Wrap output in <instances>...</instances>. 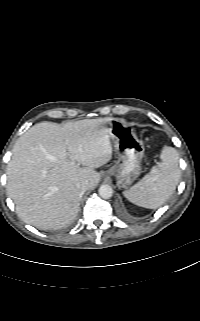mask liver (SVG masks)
I'll list each match as a JSON object with an SVG mask.
<instances>
[{"label":"liver","mask_w":200,"mask_h":321,"mask_svg":"<svg viewBox=\"0 0 200 321\" xmlns=\"http://www.w3.org/2000/svg\"><path fill=\"white\" fill-rule=\"evenodd\" d=\"M109 122H41L18 138L7 167V191L24 222L49 230L77 217L83 192L76 184L87 180L93 189L100 180L95 168L112 158Z\"/></svg>","instance_id":"liver-1"}]
</instances>
